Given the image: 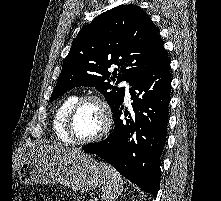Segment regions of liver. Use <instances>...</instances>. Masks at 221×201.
<instances>
[{
	"label": "liver",
	"mask_w": 221,
	"mask_h": 201,
	"mask_svg": "<svg viewBox=\"0 0 221 201\" xmlns=\"http://www.w3.org/2000/svg\"><path fill=\"white\" fill-rule=\"evenodd\" d=\"M41 149H47V150H52V151H56V152H73L76 151L75 149H69L67 147H64L60 144H55V145H51V146H42Z\"/></svg>",
	"instance_id": "1"
}]
</instances>
